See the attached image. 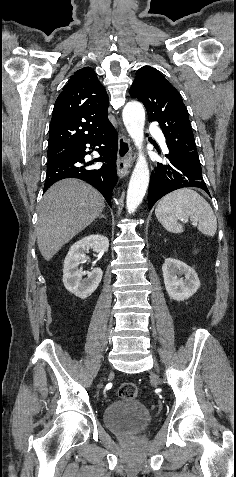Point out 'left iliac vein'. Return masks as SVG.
<instances>
[{
  "mask_svg": "<svg viewBox=\"0 0 236 477\" xmlns=\"http://www.w3.org/2000/svg\"><path fill=\"white\" fill-rule=\"evenodd\" d=\"M152 378H153V379H157V377H156L154 374H152Z\"/></svg>",
  "mask_w": 236,
  "mask_h": 477,
  "instance_id": "1",
  "label": "left iliac vein"
}]
</instances>
